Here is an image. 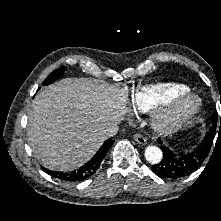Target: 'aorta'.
<instances>
[{"label": "aorta", "instance_id": "1", "mask_svg": "<svg viewBox=\"0 0 221 221\" xmlns=\"http://www.w3.org/2000/svg\"><path fill=\"white\" fill-rule=\"evenodd\" d=\"M145 158L151 164H158L162 160V151L157 146H148L145 149Z\"/></svg>", "mask_w": 221, "mask_h": 221}]
</instances>
